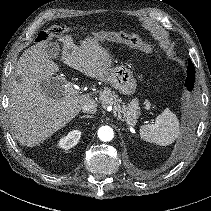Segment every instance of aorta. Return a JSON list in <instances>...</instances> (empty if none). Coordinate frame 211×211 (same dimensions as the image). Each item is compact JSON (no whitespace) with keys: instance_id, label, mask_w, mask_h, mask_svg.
Returning <instances> with one entry per match:
<instances>
[{"instance_id":"1","label":"aorta","mask_w":211,"mask_h":211,"mask_svg":"<svg viewBox=\"0 0 211 211\" xmlns=\"http://www.w3.org/2000/svg\"><path fill=\"white\" fill-rule=\"evenodd\" d=\"M98 137L103 142L111 141L114 137V131L109 126H102L98 129Z\"/></svg>"}]
</instances>
